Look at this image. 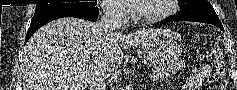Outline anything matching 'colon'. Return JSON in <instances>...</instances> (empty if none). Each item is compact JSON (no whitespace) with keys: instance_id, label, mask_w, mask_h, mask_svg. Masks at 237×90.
Instances as JSON below:
<instances>
[{"instance_id":"1","label":"colon","mask_w":237,"mask_h":90,"mask_svg":"<svg viewBox=\"0 0 237 90\" xmlns=\"http://www.w3.org/2000/svg\"><path fill=\"white\" fill-rule=\"evenodd\" d=\"M213 62L215 66L214 79L218 82L219 90H231L225 73V61L221 50L213 52Z\"/></svg>"}]
</instances>
